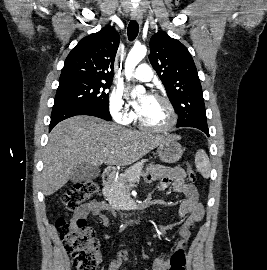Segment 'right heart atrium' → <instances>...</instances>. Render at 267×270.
Instances as JSON below:
<instances>
[{
	"instance_id": "obj_1",
	"label": "right heart atrium",
	"mask_w": 267,
	"mask_h": 270,
	"mask_svg": "<svg viewBox=\"0 0 267 270\" xmlns=\"http://www.w3.org/2000/svg\"><path fill=\"white\" fill-rule=\"evenodd\" d=\"M109 109L114 120L121 124H129L134 119V114L125 103L120 90L112 92L109 100Z\"/></svg>"
}]
</instances>
